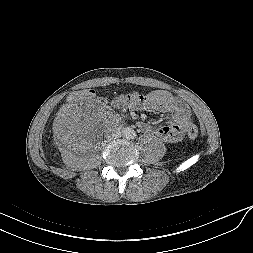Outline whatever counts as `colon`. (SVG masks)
<instances>
[{
	"instance_id": "1",
	"label": "colon",
	"mask_w": 253,
	"mask_h": 253,
	"mask_svg": "<svg viewBox=\"0 0 253 253\" xmlns=\"http://www.w3.org/2000/svg\"><path fill=\"white\" fill-rule=\"evenodd\" d=\"M97 94L98 91L95 88L87 90H79L69 94L65 99V102L67 104H71L74 100L82 98H90L91 96H96ZM187 135L190 138H196L198 136V128L195 125H190L187 129Z\"/></svg>"
}]
</instances>
